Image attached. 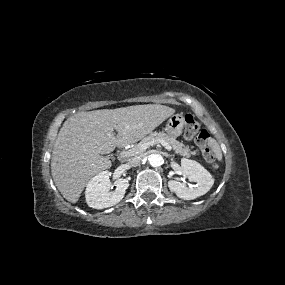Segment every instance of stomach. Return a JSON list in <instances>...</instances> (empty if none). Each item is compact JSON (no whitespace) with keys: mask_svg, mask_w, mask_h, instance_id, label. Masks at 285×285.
Masks as SVG:
<instances>
[{"mask_svg":"<svg viewBox=\"0 0 285 285\" xmlns=\"http://www.w3.org/2000/svg\"><path fill=\"white\" fill-rule=\"evenodd\" d=\"M184 128V120L181 114L171 115L166 124L167 133L176 138L182 134Z\"/></svg>","mask_w":285,"mask_h":285,"instance_id":"1","label":"stomach"}]
</instances>
